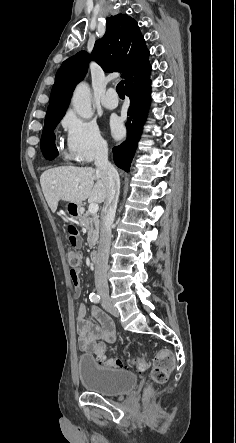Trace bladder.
Returning <instances> with one entry per match:
<instances>
[{"instance_id":"1","label":"bladder","mask_w":236,"mask_h":443,"mask_svg":"<svg viewBox=\"0 0 236 443\" xmlns=\"http://www.w3.org/2000/svg\"><path fill=\"white\" fill-rule=\"evenodd\" d=\"M77 371L81 384L88 392L103 396H119L132 390L136 385L133 372L104 366L93 355H80Z\"/></svg>"}]
</instances>
